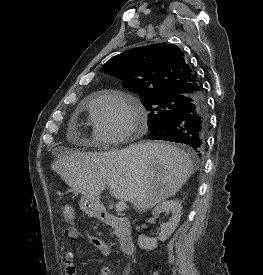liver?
<instances>
[{"label": "liver", "mask_w": 263, "mask_h": 275, "mask_svg": "<svg viewBox=\"0 0 263 275\" xmlns=\"http://www.w3.org/2000/svg\"><path fill=\"white\" fill-rule=\"evenodd\" d=\"M52 169L88 198H99L108 184L115 199L146 211L174 196L196 167L187 153L173 145L141 141L119 151L65 152Z\"/></svg>", "instance_id": "6515ba94"}]
</instances>
